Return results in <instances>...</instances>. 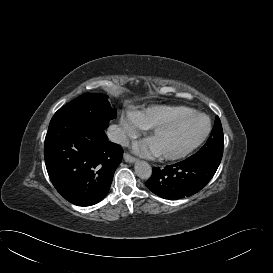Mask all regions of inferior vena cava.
Listing matches in <instances>:
<instances>
[{
	"instance_id": "inferior-vena-cava-1",
	"label": "inferior vena cava",
	"mask_w": 273,
	"mask_h": 273,
	"mask_svg": "<svg viewBox=\"0 0 273 273\" xmlns=\"http://www.w3.org/2000/svg\"><path fill=\"white\" fill-rule=\"evenodd\" d=\"M107 135L110 141L126 145L128 144V138L125 132L117 125H112L108 128Z\"/></svg>"
}]
</instances>
